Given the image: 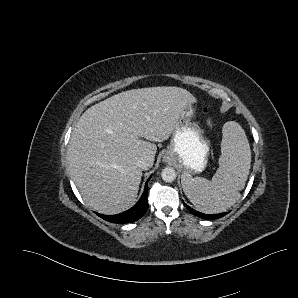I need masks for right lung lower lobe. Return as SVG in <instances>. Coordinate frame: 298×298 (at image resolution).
<instances>
[{"instance_id": "98d812e1", "label": "right lung lower lobe", "mask_w": 298, "mask_h": 298, "mask_svg": "<svg viewBox=\"0 0 298 298\" xmlns=\"http://www.w3.org/2000/svg\"><path fill=\"white\" fill-rule=\"evenodd\" d=\"M150 179V178H149ZM148 179V181H149ZM147 181V183H148ZM146 183V184H147ZM148 209L147 200V186H145L144 192L139 201L129 210L117 214V215H102L96 213L99 217L112 223H131L140 219Z\"/></svg>"}]
</instances>
